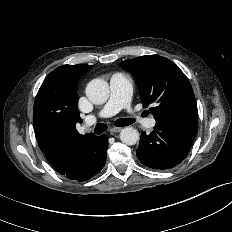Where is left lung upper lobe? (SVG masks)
<instances>
[{
	"mask_svg": "<svg viewBox=\"0 0 232 232\" xmlns=\"http://www.w3.org/2000/svg\"><path fill=\"white\" fill-rule=\"evenodd\" d=\"M119 65L136 80L144 107L156 121L198 123L195 96L185 74L172 61L146 55L122 61Z\"/></svg>",
	"mask_w": 232,
	"mask_h": 232,
	"instance_id": "1",
	"label": "left lung upper lobe"
}]
</instances>
